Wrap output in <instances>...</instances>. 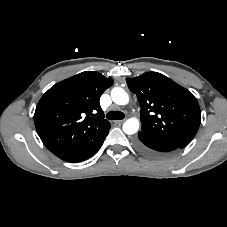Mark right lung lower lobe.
I'll return each instance as SVG.
<instances>
[{"label":"right lung lower lobe","instance_id":"1","mask_svg":"<svg viewBox=\"0 0 227 227\" xmlns=\"http://www.w3.org/2000/svg\"><path fill=\"white\" fill-rule=\"evenodd\" d=\"M108 132L105 135H103L98 141H96L89 148L66 155V156L62 157L61 159L64 161H67V162L75 163V162H80V161H83V160H86V159L92 157L100 149Z\"/></svg>","mask_w":227,"mask_h":227}]
</instances>
